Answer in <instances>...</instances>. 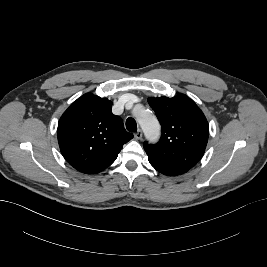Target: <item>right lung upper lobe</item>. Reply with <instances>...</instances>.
<instances>
[{"label": "right lung upper lobe", "instance_id": "cb5924a9", "mask_svg": "<svg viewBox=\"0 0 267 267\" xmlns=\"http://www.w3.org/2000/svg\"><path fill=\"white\" fill-rule=\"evenodd\" d=\"M112 102L86 93L61 116L58 143L66 161L80 172L96 174L110 166L133 138L122 119L112 114Z\"/></svg>", "mask_w": 267, "mask_h": 267}]
</instances>
